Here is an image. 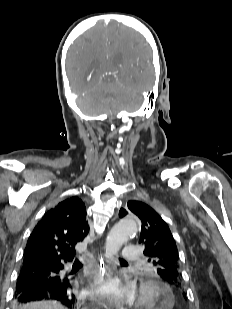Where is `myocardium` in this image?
I'll return each instance as SVG.
<instances>
[{
    "label": "myocardium",
    "instance_id": "myocardium-1",
    "mask_svg": "<svg viewBox=\"0 0 232 309\" xmlns=\"http://www.w3.org/2000/svg\"><path fill=\"white\" fill-rule=\"evenodd\" d=\"M163 295L162 287L154 279H143L138 289L136 309H154Z\"/></svg>",
    "mask_w": 232,
    "mask_h": 309
}]
</instances>
